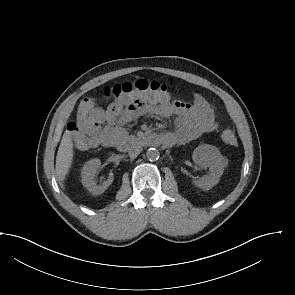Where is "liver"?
I'll use <instances>...</instances> for the list:
<instances>
[{
    "label": "liver",
    "mask_w": 295,
    "mask_h": 295,
    "mask_svg": "<svg viewBox=\"0 0 295 295\" xmlns=\"http://www.w3.org/2000/svg\"><path fill=\"white\" fill-rule=\"evenodd\" d=\"M73 142L69 133H64L56 156V174L61 187L73 161Z\"/></svg>",
    "instance_id": "obj_1"
}]
</instances>
